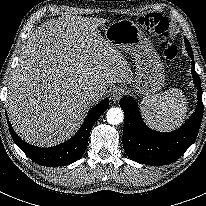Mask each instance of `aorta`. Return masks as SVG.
<instances>
[{"label": "aorta", "mask_w": 206, "mask_h": 206, "mask_svg": "<svg viewBox=\"0 0 206 206\" xmlns=\"http://www.w3.org/2000/svg\"><path fill=\"white\" fill-rule=\"evenodd\" d=\"M107 122L111 125H118L122 123L124 119V114L122 109L118 107H112L107 111L106 114Z\"/></svg>", "instance_id": "obj_1"}]
</instances>
